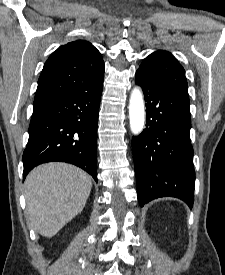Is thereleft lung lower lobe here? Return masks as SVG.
Instances as JSON below:
<instances>
[{
	"mask_svg": "<svg viewBox=\"0 0 225 275\" xmlns=\"http://www.w3.org/2000/svg\"><path fill=\"white\" fill-rule=\"evenodd\" d=\"M135 82L143 88L147 108L146 128L132 140L139 204L171 196L192 208L195 172L189 99L138 70Z\"/></svg>",
	"mask_w": 225,
	"mask_h": 275,
	"instance_id": "obj_1",
	"label": "left lung lower lobe"
}]
</instances>
